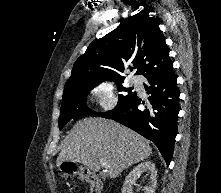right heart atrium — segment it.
<instances>
[{
  "instance_id": "right-heart-atrium-1",
  "label": "right heart atrium",
  "mask_w": 221,
  "mask_h": 193,
  "mask_svg": "<svg viewBox=\"0 0 221 193\" xmlns=\"http://www.w3.org/2000/svg\"><path fill=\"white\" fill-rule=\"evenodd\" d=\"M89 96L95 106L102 112H110L119 104V97L113 87L109 85H97L93 87Z\"/></svg>"
}]
</instances>
